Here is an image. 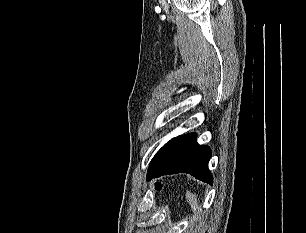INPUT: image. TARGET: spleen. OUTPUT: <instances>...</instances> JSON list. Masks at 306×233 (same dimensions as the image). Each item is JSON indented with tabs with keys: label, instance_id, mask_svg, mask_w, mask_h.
<instances>
[{
	"label": "spleen",
	"instance_id": "obj_1",
	"mask_svg": "<svg viewBox=\"0 0 306 233\" xmlns=\"http://www.w3.org/2000/svg\"><path fill=\"white\" fill-rule=\"evenodd\" d=\"M187 202L191 205V208L194 213L199 210V200L197 199V195L191 193L190 191L186 192Z\"/></svg>",
	"mask_w": 306,
	"mask_h": 233
}]
</instances>
